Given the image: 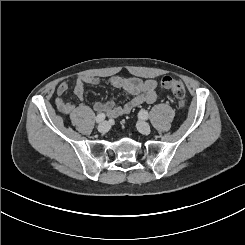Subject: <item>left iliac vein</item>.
Segmentation results:
<instances>
[{"label": "left iliac vein", "instance_id": "obj_1", "mask_svg": "<svg viewBox=\"0 0 245 245\" xmlns=\"http://www.w3.org/2000/svg\"><path fill=\"white\" fill-rule=\"evenodd\" d=\"M138 129L142 134H149L150 133V127L148 125V123H146L145 121L141 120L138 122Z\"/></svg>", "mask_w": 245, "mask_h": 245}]
</instances>
